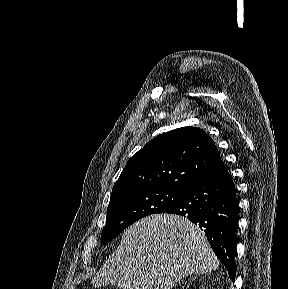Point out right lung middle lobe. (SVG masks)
Here are the masks:
<instances>
[{"mask_svg":"<svg viewBox=\"0 0 288 289\" xmlns=\"http://www.w3.org/2000/svg\"><path fill=\"white\" fill-rule=\"evenodd\" d=\"M185 189L158 187L132 189L111 195L107 209L106 225L101 241L107 244L126 227L154 213H164L183 196Z\"/></svg>","mask_w":288,"mask_h":289,"instance_id":"obj_1","label":"right lung middle lobe"}]
</instances>
